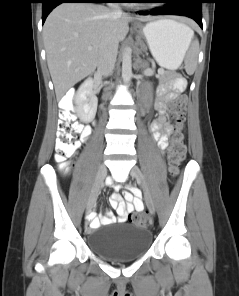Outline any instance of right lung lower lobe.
Returning a JSON list of instances; mask_svg holds the SVG:
<instances>
[{"label":"right lung lower lobe","mask_w":239,"mask_h":296,"mask_svg":"<svg viewBox=\"0 0 239 296\" xmlns=\"http://www.w3.org/2000/svg\"><path fill=\"white\" fill-rule=\"evenodd\" d=\"M111 0H42V24L48 14L61 3H107Z\"/></svg>","instance_id":"obj_1"}]
</instances>
